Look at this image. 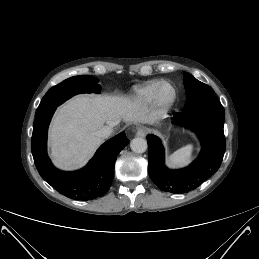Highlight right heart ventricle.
I'll return each mask as SVG.
<instances>
[{"label":"right heart ventricle","mask_w":259,"mask_h":259,"mask_svg":"<svg viewBox=\"0 0 259 259\" xmlns=\"http://www.w3.org/2000/svg\"><path fill=\"white\" fill-rule=\"evenodd\" d=\"M160 80H151L133 89L132 98L139 104H150L154 101L155 92L161 84Z\"/></svg>","instance_id":"right-heart-ventricle-1"}]
</instances>
